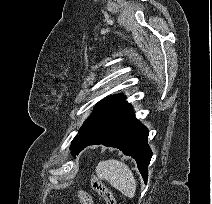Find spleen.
<instances>
[{
	"label": "spleen",
	"mask_w": 212,
	"mask_h": 204,
	"mask_svg": "<svg viewBox=\"0 0 212 204\" xmlns=\"http://www.w3.org/2000/svg\"><path fill=\"white\" fill-rule=\"evenodd\" d=\"M98 178L106 180L126 197L133 198L136 192V180L130 168L116 159L101 161L96 166Z\"/></svg>",
	"instance_id": "obj_1"
}]
</instances>
